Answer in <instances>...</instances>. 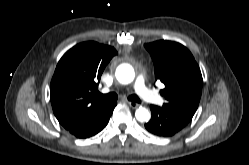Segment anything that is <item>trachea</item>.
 Masks as SVG:
<instances>
[{
    "label": "trachea",
    "instance_id": "3493384b",
    "mask_svg": "<svg viewBox=\"0 0 249 165\" xmlns=\"http://www.w3.org/2000/svg\"><path fill=\"white\" fill-rule=\"evenodd\" d=\"M97 96L107 101H115L118 99V95L116 93H108V94L98 93ZM128 100L132 102H137V103L141 102V100L139 99L137 95L128 96Z\"/></svg>",
    "mask_w": 249,
    "mask_h": 165
}]
</instances>
